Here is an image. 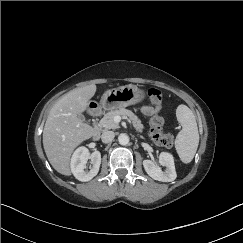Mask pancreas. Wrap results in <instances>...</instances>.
I'll list each match as a JSON object with an SVG mask.
<instances>
[{
	"mask_svg": "<svg viewBox=\"0 0 243 243\" xmlns=\"http://www.w3.org/2000/svg\"><path fill=\"white\" fill-rule=\"evenodd\" d=\"M115 116H128L132 121L135 130L138 133H141L143 131L144 126L139 118L132 111L125 108H120L107 112L100 120V127L104 128L105 130L117 129L119 125L114 121ZM140 137L144 138L142 135Z\"/></svg>",
	"mask_w": 243,
	"mask_h": 243,
	"instance_id": "1",
	"label": "pancreas"
}]
</instances>
